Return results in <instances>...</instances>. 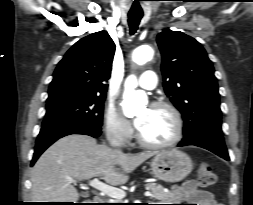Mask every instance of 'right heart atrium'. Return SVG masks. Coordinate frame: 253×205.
Listing matches in <instances>:
<instances>
[{"label":"right heart atrium","instance_id":"right-heart-atrium-1","mask_svg":"<svg viewBox=\"0 0 253 205\" xmlns=\"http://www.w3.org/2000/svg\"><path fill=\"white\" fill-rule=\"evenodd\" d=\"M103 127L106 136L120 145L127 143L132 136L130 122L112 106L104 111Z\"/></svg>","mask_w":253,"mask_h":205}]
</instances>
